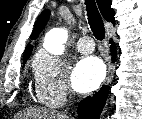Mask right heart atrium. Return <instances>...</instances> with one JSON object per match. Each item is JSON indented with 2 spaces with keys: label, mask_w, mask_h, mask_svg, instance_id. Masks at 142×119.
I'll list each match as a JSON object with an SVG mask.
<instances>
[{
  "label": "right heart atrium",
  "mask_w": 142,
  "mask_h": 119,
  "mask_svg": "<svg viewBox=\"0 0 142 119\" xmlns=\"http://www.w3.org/2000/svg\"><path fill=\"white\" fill-rule=\"evenodd\" d=\"M38 99L49 107H61L71 96L66 64L47 52L38 54L33 62Z\"/></svg>",
  "instance_id": "1"
}]
</instances>
